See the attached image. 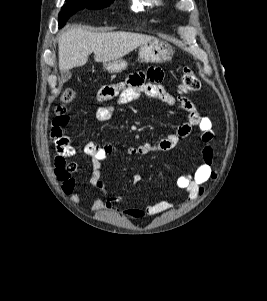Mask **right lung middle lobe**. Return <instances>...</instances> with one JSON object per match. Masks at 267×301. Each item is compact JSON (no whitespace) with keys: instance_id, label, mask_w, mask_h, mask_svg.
I'll list each match as a JSON object with an SVG mask.
<instances>
[{"instance_id":"1","label":"right lung middle lobe","mask_w":267,"mask_h":301,"mask_svg":"<svg viewBox=\"0 0 267 301\" xmlns=\"http://www.w3.org/2000/svg\"><path fill=\"white\" fill-rule=\"evenodd\" d=\"M113 0H66L59 13V26L62 27L76 11L88 8L99 9L108 6Z\"/></svg>"}]
</instances>
